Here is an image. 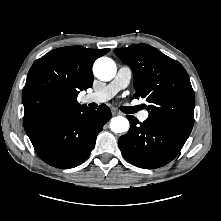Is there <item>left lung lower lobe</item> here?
Listing matches in <instances>:
<instances>
[{"instance_id": "1", "label": "left lung lower lobe", "mask_w": 221, "mask_h": 221, "mask_svg": "<svg viewBox=\"0 0 221 221\" xmlns=\"http://www.w3.org/2000/svg\"><path fill=\"white\" fill-rule=\"evenodd\" d=\"M127 118L130 129L119 138L118 145L125 159L140 168L154 169L168 164L190 135L149 118L140 124L134 116Z\"/></svg>"}]
</instances>
